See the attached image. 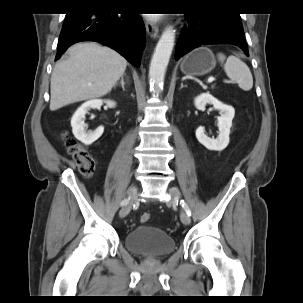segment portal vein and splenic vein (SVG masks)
<instances>
[{
  "label": "portal vein and splenic vein",
  "instance_id": "portal-vein-and-splenic-vein-1",
  "mask_svg": "<svg viewBox=\"0 0 303 303\" xmlns=\"http://www.w3.org/2000/svg\"><path fill=\"white\" fill-rule=\"evenodd\" d=\"M214 80H215L214 77H209V78H208V83H211V82H213Z\"/></svg>",
  "mask_w": 303,
  "mask_h": 303
}]
</instances>
